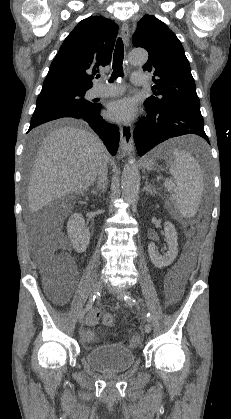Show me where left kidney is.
<instances>
[{"instance_id":"obj_1","label":"left kidney","mask_w":231,"mask_h":419,"mask_svg":"<svg viewBox=\"0 0 231 419\" xmlns=\"http://www.w3.org/2000/svg\"><path fill=\"white\" fill-rule=\"evenodd\" d=\"M164 231L166 242L168 244V251L163 256H159L157 254L156 246L153 242L148 245L149 257L157 268L169 266L173 263L178 254V236L175 226L171 222L167 221L164 224Z\"/></svg>"}]
</instances>
